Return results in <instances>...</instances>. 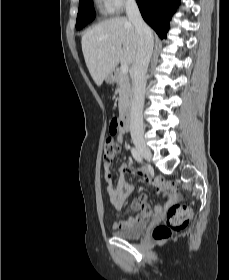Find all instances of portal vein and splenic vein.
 I'll return each mask as SVG.
<instances>
[{"instance_id": "portal-vein-and-splenic-vein-1", "label": "portal vein and splenic vein", "mask_w": 229, "mask_h": 280, "mask_svg": "<svg viewBox=\"0 0 229 280\" xmlns=\"http://www.w3.org/2000/svg\"><path fill=\"white\" fill-rule=\"evenodd\" d=\"M120 70L123 74H127L129 70V64L128 63H122Z\"/></svg>"}]
</instances>
